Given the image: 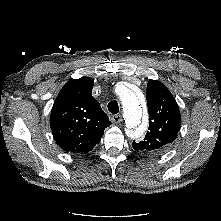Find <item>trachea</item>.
<instances>
[{"label":"trachea","mask_w":221,"mask_h":221,"mask_svg":"<svg viewBox=\"0 0 221 221\" xmlns=\"http://www.w3.org/2000/svg\"><path fill=\"white\" fill-rule=\"evenodd\" d=\"M108 110L112 114H117L119 112V106H118L117 101L113 100V101L109 102L108 103Z\"/></svg>","instance_id":"trachea-1"}]
</instances>
